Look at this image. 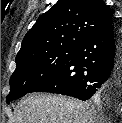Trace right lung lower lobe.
I'll use <instances>...</instances> for the list:
<instances>
[{
    "label": "right lung lower lobe",
    "mask_w": 122,
    "mask_h": 123,
    "mask_svg": "<svg viewBox=\"0 0 122 123\" xmlns=\"http://www.w3.org/2000/svg\"><path fill=\"white\" fill-rule=\"evenodd\" d=\"M31 92H51L88 100L96 95L122 97V38L109 23L91 33L72 59Z\"/></svg>",
    "instance_id": "98d812e1"
}]
</instances>
